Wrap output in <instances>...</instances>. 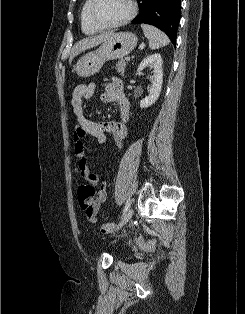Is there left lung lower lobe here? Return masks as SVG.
<instances>
[{"instance_id":"1","label":"left lung lower lobe","mask_w":245,"mask_h":314,"mask_svg":"<svg viewBox=\"0 0 245 314\" xmlns=\"http://www.w3.org/2000/svg\"><path fill=\"white\" fill-rule=\"evenodd\" d=\"M137 2L140 12L132 23H145L163 30L175 45L181 0H137Z\"/></svg>"}]
</instances>
